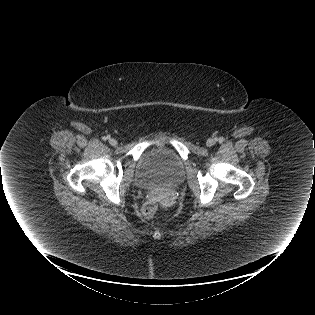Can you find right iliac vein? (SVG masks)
<instances>
[{"label":"right iliac vein","instance_id":"63e3f726","mask_svg":"<svg viewBox=\"0 0 315 315\" xmlns=\"http://www.w3.org/2000/svg\"><path fill=\"white\" fill-rule=\"evenodd\" d=\"M109 143L112 146H116L117 145V140L112 138V139L109 140Z\"/></svg>","mask_w":315,"mask_h":315}]
</instances>
